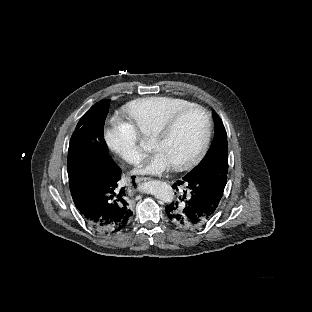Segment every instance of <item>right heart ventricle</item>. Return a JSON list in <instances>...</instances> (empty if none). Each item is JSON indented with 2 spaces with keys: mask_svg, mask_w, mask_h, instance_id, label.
Here are the masks:
<instances>
[{
  "mask_svg": "<svg viewBox=\"0 0 312 312\" xmlns=\"http://www.w3.org/2000/svg\"><path fill=\"white\" fill-rule=\"evenodd\" d=\"M190 104V98L184 94H147L130 98L126 107L132 113L130 124L135 134L148 139L163 130L168 120L188 110Z\"/></svg>",
  "mask_w": 312,
  "mask_h": 312,
  "instance_id": "right-heart-ventricle-1",
  "label": "right heart ventricle"
}]
</instances>
